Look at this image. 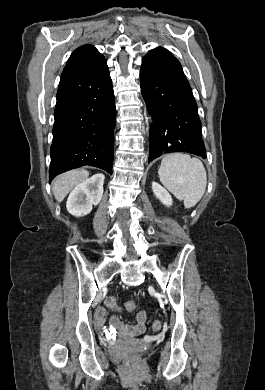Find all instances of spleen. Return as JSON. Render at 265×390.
Listing matches in <instances>:
<instances>
[{
	"label": "spleen",
	"instance_id": "1",
	"mask_svg": "<svg viewBox=\"0 0 265 390\" xmlns=\"http://www.w3.org/2000/svg\"><path fill=\"white\" fill-rule=\"evenodd\" d=\"M161 183L185 208L195 206L204 195L207 174L203 163L187 154H169L162 159L159 168Z\"/></svg>",
	"mask_w": 265,
	"mask_h": 390
}]
</instances>
